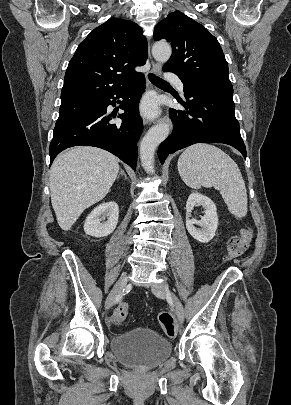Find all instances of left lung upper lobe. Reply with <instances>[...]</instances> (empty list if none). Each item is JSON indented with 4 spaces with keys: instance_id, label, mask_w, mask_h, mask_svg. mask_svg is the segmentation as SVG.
<instances>
[{
    "instance_id": "obj_1",
    "label": "left lung upper lobe",
    "mask_w": 291,
    "mask_h": 405,
    "mask_svg": "<svg viewBox=\"0 0 291 405\" xmlns=\"http://www.w3.org/2000/svg\"><path fill=\"white\" fill-rule=\"evenodd\" d=\"M160 39L169 41L173 49L163 69L183 81L231 84L221 46L201 24L175 11L156 25L154 40Z\"/></svg>"
}]
</instances>
